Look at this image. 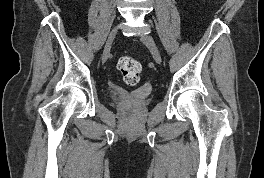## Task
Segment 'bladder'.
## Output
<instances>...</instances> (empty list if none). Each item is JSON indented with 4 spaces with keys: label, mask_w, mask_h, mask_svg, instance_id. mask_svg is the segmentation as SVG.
<instances>
[{
    "label": "bladder",
    "mask_w": 264,
    "mask_h": 178,
    "mask_svg": "<svg viewBox=\"0 0 264 178\" xmlns=\"http://www.w3.org/2000/svg\"><path fill=\"white\" fill-rule=\"evenodd\" d=\"M110 97H111L112 99H115V100H117V99H121V98H122V96H121L119 93H117V92H111V93H110Z\"/></svg>",
    "instance_id": "bladder-1"
}]
</instances>
